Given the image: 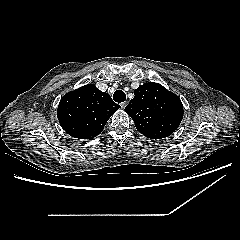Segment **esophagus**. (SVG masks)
<instances>
[{
    "instance_id": "obj_1",
    "label": "esophagus",
    "mask_w": 240,
    "mask_h": 240,
    "mask_svg": "<svg viewBox=\"0 0 240 240\" xmlns=\"http://www.w3.org/2000/svg\"><path fill=\"white\" fill-rule=\"evenodd\" d=\"M126 105H127V102L125 101V102H122V103H120V106H121V108L122 109H124L125 107H126Z\"/></svg>"
}]
</instances>
